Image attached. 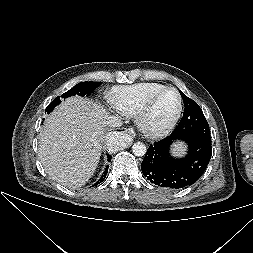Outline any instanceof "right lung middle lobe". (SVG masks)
<instances>
[{
    "mask_svg": "<svg viewBox=\"0 0 253 253\" xmlns=\"http://www.w3.org/2000/svg\"><path fill=\"white\" fill-rule=\"evenodd\" d=\"M102 82H81L73 88L61 95L62 98H67L74 95L89 96ZM61 103L60 96L56 97L46 108V112L50 113L55 106Z\"/></svg>",
    "mask_w": 253,
    "mask_h": 253,
    "instance_id": "1",
    "label": "right lung middle lobe"
}]
</instances>
